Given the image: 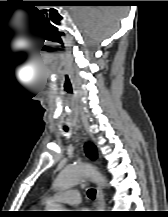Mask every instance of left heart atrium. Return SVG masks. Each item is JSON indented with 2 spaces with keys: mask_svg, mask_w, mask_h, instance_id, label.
Segmentation results:
<instances>
[{
  "mask_svg": "<svg viewBox=\"0 0 168 217\" xmlns=\"http://www.w3.org/2000/svg\"><path fill=\"white\" fill-rule=\"evenodd\" d=\"M85 214V212L83 211H79L77 214H76V217H83Z\"/></svg>",
  "mask_w": 168,
  "mask_h": 217,
  "instance_id": "1",
  "label": "left heart atrium"
}]
</instances>
